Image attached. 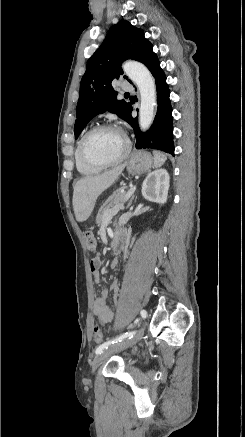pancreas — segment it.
Returning <instances> with one entry per match:
<instances>
[{
	"mask_svg": "<svg viewBox=\"0 0 245 437\" xmlns=\"http://www.w3.org/2000/svg\"><path fill=\"white\" fill-rule=\"evenodd\" d=\"M126 194L127 192L123 188H119L109 196L97 214L96 221L99 225H102L104 217L113 207L124 204Z\"/></svg>",
	"mask_w": 245,
	"mask_h": 437,
	"instance_id": "pancreas-1",
	"label": "pancreas"
}]
</instances>
